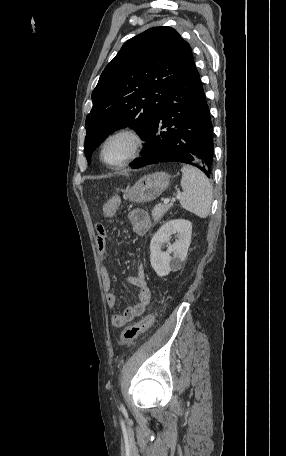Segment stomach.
<instances>
[{"instance_id":"1","label":"stomach","mask_w":286,"mask_h":456,"mask_svg":"<svg viewBox=\"0 0 286 456\" xmlns=\"http://www.w3.org/2000/svg\"><path fill=\"white\" fill-rule=\"evenodd\" d=\"M170 176L156 172L142 177L124 194L125 199L135 203H146L159 197L169 186Z\"/></svg>"}]
</instances>
